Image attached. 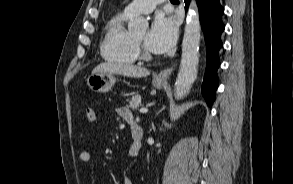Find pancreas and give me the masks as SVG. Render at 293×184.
<instances>
[{
    "label": "pancreas",
    "mask_w": 293,
    "mask_h": 184,
    "mask_svg": "<svg viewBox=\"0 0 293 184\" xmlns=\"http://www.w3.org/2000/svg\"><path fill=\"white\" fill-rule=\"evenodd\" d=\"M129 102V107L132 110H136L141 105V96L135 95L130 100H127Z\"/></svg>",
    "instance_id": "obj_1"
}]
</instances>
